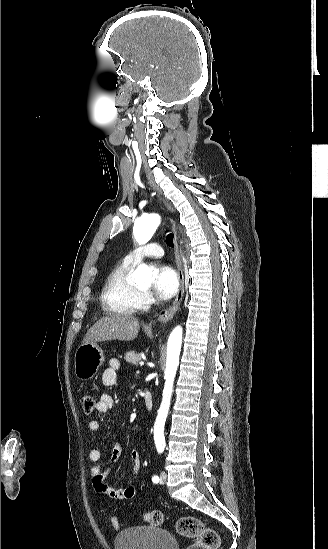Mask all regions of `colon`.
Masks as SVG:
<instances>
[{
	"instance_id": "1",
	"label": "colon",
	"mask_w": 328,
	"mask_h": 549,
	"mask_svg": "<svg viewBox=\"0 0 328 549\" xmlns=\"http://www.w3.org/2000/svg\"><path fill=\"white\" fill-rule=\"evenodd\" d=\"M83 411L91 414L96 407L93 395L84 394L82 397ZM144 521L152 526H159L163 523V514L159 510H150L144 514ZM109 523L114 529L120 528L119 520L115 516L109 517ZM177 533L184 538L192 540L186 549H217L220 546L218 533L203 524L193 516H183L176 523Z\"/></svg>"
}]
</instances>
